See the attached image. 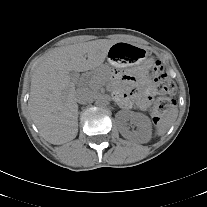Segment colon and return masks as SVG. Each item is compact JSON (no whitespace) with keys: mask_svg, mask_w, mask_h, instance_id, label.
<instances>
[{"mask_svg":"<svg viewBox=\"0 0 207 207\" xmlns=\"http://www.w3.org/2000/svg\"><path fill=\"white\" fill-rule=\"evenodd\" d=\"M152 75L156 81L158 92L161 95H172L176 91L175 83L168 76L165 67L158 60L150 61ZM174 107L173 102L166 97H159L155 103L153 111V119L159 122L166 113L170 112Z\"/></svg>","mask_w":207,"mask_h":207,"instance_id":"colon-1","label":"colon"}]
</instances>
